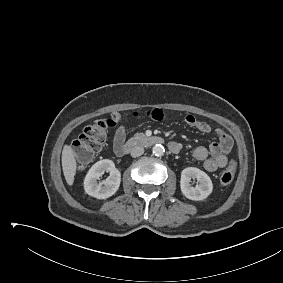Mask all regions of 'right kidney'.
Here are the masks:
<instances>
[{"mask_svg": "<svg viewBox=\"0 0 283 283\" xmlns=\"http://www.w3.org/2000/svg\"><path fill=\"white\" fill-rule=\"evenodd\" d=\"M110 172L106 180L98 183L97 180L104 174ZM121 174L115 168L113 161L103 159L96 162L88 171L84 179L85 192L97 199H107L116 193L120 186Z\"/></svg>", "mask_w": 283, "mask_h": 283, "instance_id": "obj_1", "label": "right kidney"}]
</instances>
